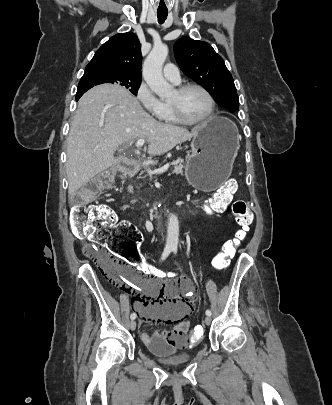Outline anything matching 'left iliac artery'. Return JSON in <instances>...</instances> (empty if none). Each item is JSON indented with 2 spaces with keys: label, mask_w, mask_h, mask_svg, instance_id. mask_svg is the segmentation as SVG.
I'll return each mask as SVG.
<instances>
[{
  "label": "left iliac artery",
  "mask_w": 332,
  "mask_h": 405,
  "mask_svg": "<svg viewBox=\"0 0 332 405\" xmlns=\"http://www.w3.org/2000/svg\"><path fill=\"white\" fill-rule=\"evenodd\" d=\"M172 251H173L174 253H176V252H177V248L174 247V248L172 249ZM205 313H206L207 316H211V311H210L209 309H207Z\"/></svg>",
  "instance_id": "44dca946"
}]
</instances>
